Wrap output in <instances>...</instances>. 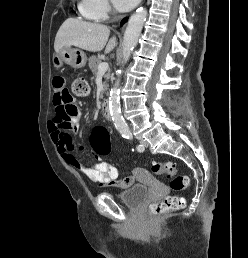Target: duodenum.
I'll use <instances>...</instances> for the list:
<instances>
[{
  "mask_svg": "<svg viewBox=\"0 0 248 258\" xmlns=\"http://www.w3.org/2000/svg\"><path fill=\"white\" fill-rule=\"evenodd\" d=\"M103 113L107 119L111 118L110 104L108 100H105L103 103Z\"/></svg>",
  "mask_w": 248,
  "mask_h": 258,
  "instance_id": "duodenum-1",
  "label": "duodenum"
}]
</instances>
